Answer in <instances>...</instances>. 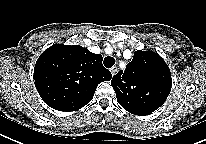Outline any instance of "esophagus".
Segmentation results:
<instances>
[{"instance_id": "34e87169", "label": "esophagus", "mask_w": 206, "mask_h": 144, "mask_svg": "<svg viewBox=\"0 0 206 144\" xmlns=\"http://www.w3.org/2000/svg\"><path fill=\"white\" fill-rule=\"evenodd\" d=\"M117 70H118L117 66H113V67L110 69V72H111L112 76H114V75L117 73Z\"/></svg>"}]
</instances>
